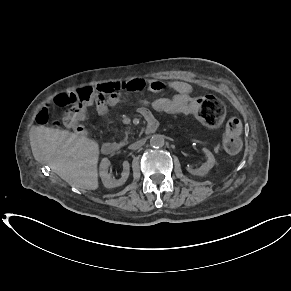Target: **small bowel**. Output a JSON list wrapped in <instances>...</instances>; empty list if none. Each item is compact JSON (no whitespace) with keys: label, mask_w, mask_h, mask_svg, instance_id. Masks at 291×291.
<instances>
[{"label":"small bowel","mask_w":291,"mask_h":291,"mask_svg":"<svg viewBox=\"0 0 291 291\" xmlns=\"http://www.w3.org/2000/svg\"><path fill=\"white\" fill-rule=\"evenodd\" d=\"M124 86V90L119 92L118 94L97 102L96 111L100 117H105L108 114L110 107H115L119 105L129 96L142 90L153 93L161 92L164 90H171L175 92V96L173 98H177L178 96H187L188 98H193L191 96V86L183 81L168 82L158 79L144 80L142 78H133L126 81L124 83ZM152 108L155 109L154 107ZM139 111L146 119L153 118L152 113L147 106L144 105L140 107Z\"/></svg>","instance_id":"1"}]
</instances>
